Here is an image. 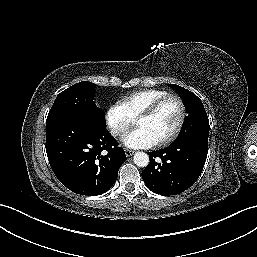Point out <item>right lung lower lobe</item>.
Here are the masks:
<instances>
[{
	"label": "right lung lower lobe",
	"mask_w": 257,
	"mask_h": 257,
	"mask_svg": "<svg viewBox=\"0 0 257 257\" xmlns=\"http://www.w3.org/2000/svg\"><path fill=\"white\" fill-rule=\"evenodd\" d=\"M46 152L58 180L80 195L108 191L126 161L124 150L89 118L65 113L46 120Z\"/></svg>",
	"instance_id": "1"
}]
</instances>
